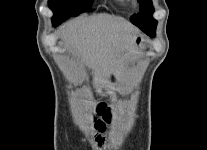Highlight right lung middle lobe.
Returning <instances> with one entry per match:
<instances>
[{
    "mask_svg": "<svg viewBox=\"0 0 207 150\" xmlns=\"http://www.w3.org/2000/svg\"><path fill=\"white\" fill-rule=\"evenodd\" d=\"M92 4V0H49L48 5L54 12L53 24L59 25L70 16H77L87 11Z\"/></svg>",
    "mask_w": 207,
    "mask_h": 150,
    "instance_id": "right-lung-middle-lobe-1",
    "label": "right lung middle lobe"
}]
</instances>
